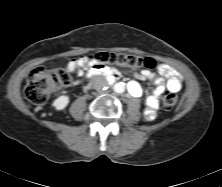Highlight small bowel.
Listing matches in <instances>:
<instances>
[{
  "mask_svg": "<svg viewBox=\"0 0 222 187\" xmlns=\"http://www.w3.org/2000/svg\"><path fill=\"white\" fill-rule=\"evenodd\" d=\"M68 69L78 76H83L86 70L89 72L93 71L92 64L86 57H80L70 61ZM135 77L138 80H148L155 85V89L145 101L144 116L148 120L155 119L159 105L158 99L164 91L177 92L182 87V77L180 73L167 65H160L157 68V73L143 69L136 72ZM73 83L77 84L78 80H74ZM128 89L133 97H140L143 94V89L137 81L129 82Z\"/></svg>",
  "mask_w": 222,
  "mask_h": 187,
  "instance_id": "obj_1",
  "label": "small bowel"
}]
</instances>
